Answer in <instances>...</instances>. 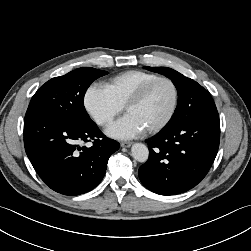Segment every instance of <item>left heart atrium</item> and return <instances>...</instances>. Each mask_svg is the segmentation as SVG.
<instances>
[{
	"label": "left heart atrium",
	"mask_w": 251,
	"mask_h": 251,
	"mask_svg": "<svg viewBox=\"0 0 251 251\" xmlns=\"http://www.w3.org/2000/svg\"><path fill=\"white\" fill-rule=\"evenodd\" d=\"M144 132V128L131 115L126 114L123 118L112 125L107 134L117 139H130L139 136Z\"/></svg>",
	"instance_id": "1"
}]
</instances>
